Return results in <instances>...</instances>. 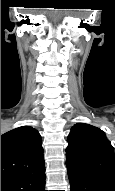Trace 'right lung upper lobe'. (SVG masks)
<instances>
[{
    "label": "right lung upper lobe",
    "instance_id": "right-lung-upper-lobe-1",
    "mask_svg": "<svg viewBox=\"0 0 115 191\" xmlns=\"http://www.w3.org/2000/svg\"><path fill=\"white\" fill-rule=\"evenodd\" d=\"M39 132L30 126L13 129L1 136V179L23 178L45 170Z\"/></svg>",
    "mask_w": 115,
    "mask_h": 191
}]
</instances>
